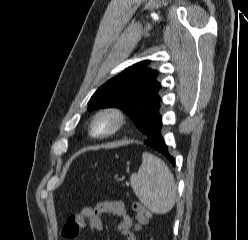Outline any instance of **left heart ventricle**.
I'll use <instances>...</instances> for the list:
<instances>
[{
    "mask_svg": "<svg viewBox=\"0 0 248 240\" xmlns=\"http://www.w3.org/2000/svg\"><path fill=\"white\" fill-rule=\"evenodd\" d=\"M114 125V119L110 116H101L95 123V131L102 133L110 130Z\"/></svg>",
    "mask_w": 248,
    "mask_h": 240,
    "instance_id": "1",
    "label": "left heart ventricle"
}]
</instances>
